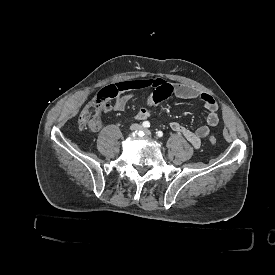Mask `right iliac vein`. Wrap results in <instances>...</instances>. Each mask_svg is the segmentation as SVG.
<instances>
[{
	"label": "right iliac vein",
	"mask_w": 275,
	"mask_h": 275,
	"mask_svg": "<svg viewBox=\"0 0 275 275\" xmlns=\"http://www.w3.org/2000/svg\"><path fill=\"white\" fill-rule=\"evenodd\" d=\"M130 129H131L132 131L140 130V129H142V126L139 125V124H133V125L130 127Z\"/></svg>",
	"instance_id": "obj_1"
}]
</instances>
